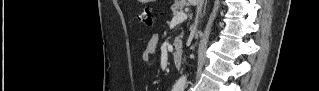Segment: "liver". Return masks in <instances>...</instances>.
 <instances>
[{
    "label": "liver",
    "mask_w": 319,
    "mask_h": 91,
    "mask_svg": "<svg viewBox=\"0 0 319 91\" xmlns=\"http://www.w3.org/2000/svg\"><path fill=\"white\" fill-rule=\"evenodd\" d=\"M188 2L192 5H197L199 3V0H188Z\"/></svg>",
    "instance_id": "obj_1"
}]
</instances>
